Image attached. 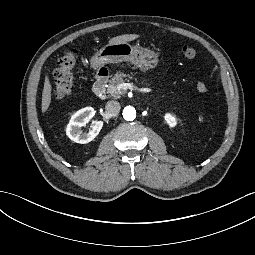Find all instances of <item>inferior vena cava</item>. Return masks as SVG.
Instances as JSON below:
<instances>
[{
    "mask_svg": "<svg viewBox=\"0 0 255 255\" xmlns=\"http://www.w3.org/2000/svg\"><path fill=\"white\" fill-rule=\"evenodd\" d=\"M120 108L121 106L118 101L111 100V101H108L106 104V110L108 114L112 117L116 116L119 113Z\"/></svg>",
    "mask_w": 255,
    "mask_h": 255,
    "instance_id": "1",
    "label": "inferior vena cava"
}]
</instances>
